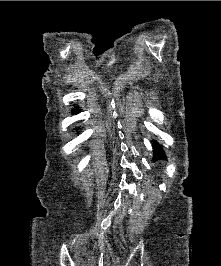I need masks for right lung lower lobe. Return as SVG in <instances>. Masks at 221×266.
<instances>
[{
    "label": "right lung lower lobe",
    "mask_w": 221,
    "mask_h": 266,
    "mask_svg": "<svg viewBox=\"0 0 221 266\" xmlns=\"http://www.w3.org/2000/svg\"><path fill=\"white\" fill-rule=\"evenodd\" d=\"M73 113L74 114H77L78 113V108L77 107L73 109Z\"/></svg>",
    "instance_id": "98d812e1"
}]
</instances>
